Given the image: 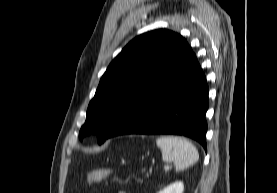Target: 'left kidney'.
Wrapping results in <instances>:
<instances>
[{
    "label": "left kidney",
    "mask_w": 277,
    "mask_h": 193,
    "mask_svg": "<svg viewBox=\"0 0 277 193\" xmlns=\"http://www.w3.org/2000/svg\"><path fill=\"white\" fill-rule=\"evenodd\" d=\"M184 184L183 182H175L164 188L163 190L159 191L158 193H183Z\"/></svg>",
    "instance_id": "1"
}]
</instances>
